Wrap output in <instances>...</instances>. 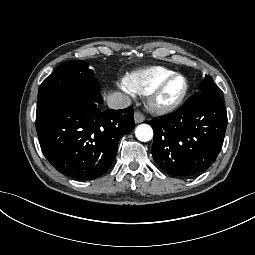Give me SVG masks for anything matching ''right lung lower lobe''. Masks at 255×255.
<instances>
[{
    "label": "right lung lower lobe",
    "instance_id": "obj_1",
    "mask_svg": "<svg viewBox=\"0 0 255 255\" xmlns=\"http://www.w3.org/2000/svg\"><path fill=\"white\" fill-rule=\"evenodd\" d=\"M134 109L97 108L77 93L55 97L37 108L36 130L42 152L60 173L92 180L112 165L118 142L134 129Z\"/></svg>",
    "mask_w": 255,
    "mask_h": 255
}]
</instances>
